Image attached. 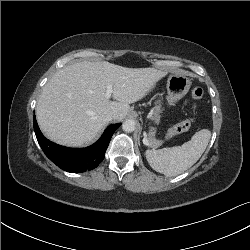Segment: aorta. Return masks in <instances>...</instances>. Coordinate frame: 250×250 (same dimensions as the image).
I'll return each instance as SVG.
<instances>
[{
    "label": "aorta",
    "mask_w": 250,
    "mask_h": 250,
    "mask_svg": "<svg viewBox=\"0 0 250 250\" xmlns=\"http://www.w3.org/2000/svg\"><path fill=\"white\" fill-rule=\"evenodd\" d=\"M136 122L133 119L126 120L123 125L122 129L125 132H133L135 130Z\"/></svg>",
    "instance_id": "1"
}]
</instances>
